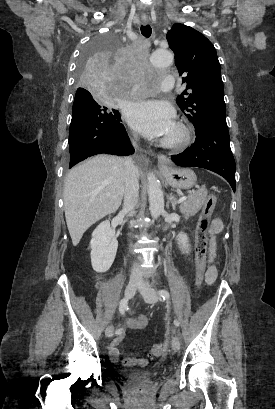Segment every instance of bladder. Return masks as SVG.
<instances>
[{"mask_svg": "<svg viewBox=\"0 0 275 409\" xmlns=\"http://www.w3.org/2000/svg\"><path fill=\"white\" fill-rule=\"evenodd\" d=\"M156 378V372L155 371H144V372H138L134 376V379L144 381L147 379H154Z\"/></svg>", "mask_w": 275, "mask_h": 409, "instance_id": "31cf9c89", "label": "bladder"}]
</instances>
